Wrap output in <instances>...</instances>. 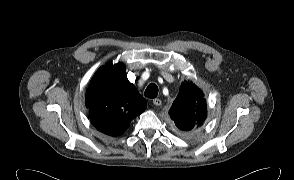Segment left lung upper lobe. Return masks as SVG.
Returning <instances> with one entry per match:
<instances>
[{"instance_id": "1", "label": "left lung upper lobe", "mask_w": 294, "mask_h": 180, "mask_svg": "<svg viewBox=\"0 0 294 180\" xmlns=\"http://www.w3.org/2000/svg\"><path fill=\"white\" fill-rule=\"evenodd\" d=\"M197 86L191 82L181 84L177 98L169 110L170 118L184 132L198 128L206 118V101Z\"/></svg>"}]
</instances>
